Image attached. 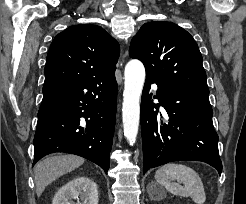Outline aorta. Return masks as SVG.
Returning <instances> with one entry per match:
<instances>
[{"label":"aorta","instance_id":"762f6f07","mask_svg":"<svg viewBox=\"0 0 246 204\" xmlns=\"http://www.w3.org/2000/svg\"><path fill=\"white\" fill-rule=\"evenodd\" d=\"M122 120L124 135L130 145L135 143L140 119V97L145 81V68L141 61L130 60L124 71Z\"/></svg>","mask_w":246,"mask_h":204}]
</instances>
